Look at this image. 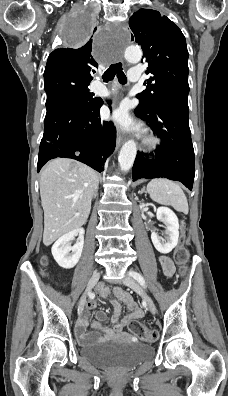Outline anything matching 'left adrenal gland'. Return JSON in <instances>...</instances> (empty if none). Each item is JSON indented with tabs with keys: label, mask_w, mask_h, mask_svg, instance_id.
Here are the masks:
<instances>
[{
	"label": "left adrenal gland",
	"mask_w": 228,
	"mask_h": 396,
	"mask_svg": "<svg viewBox=\"0 0 228 396\" xmlns=\"http://www.w3.org/2000/svg\"><path fill=\"white\" fill-rule=\"evenodd\" d=\"M142 193H146L145 187H143V188L141 189V191H139V194H142Z\"/></svg>",
	"instance_id": "a2214340"
}]
</instances>
